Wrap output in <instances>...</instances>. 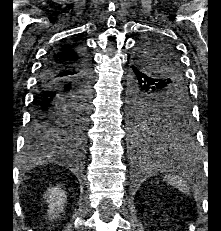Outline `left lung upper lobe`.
Listing matches in <instances>:
<instances>
[{
	"instance_id": "5c2ea615",
	"label": "left lung upper lobe",
	"mask_w": 221,
	"mask_h": 231,
	"mask_svg": "<svg viewBox=\"0 0 221 231\" xmlns=\"http://www.w3.org/2000/svg\"><path fill=\"white\" fill-rule=\"evenodd\" d=\"M134 59L163 85L158 93L146 97L137 117L129 118L131 130L141 139L152 138L166 126L188 120L189 90L176 48L163 36L148 35L140 40Z\"/></svg>"
}]
</instances>
